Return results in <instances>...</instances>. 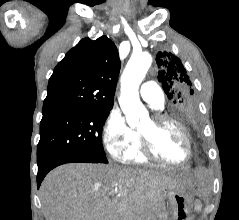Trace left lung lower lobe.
Returning <instances> with one entry per match:
<instances>
[{"label": "left lung lower lobe", "mask_w": 239, "mask_h": 220, "mask_svg": "<svg viewBox=\"0 0 239 220\" xmlns=\"http://www.w3.org/2000/svg\"><path fill=\"white\" fill-rule=\"evenodd\" d=\"M186 125H188L190 128H194L197 129L199 127V121L198 119L196 120H191V119H187V120H182Z\"/></svg>", "instance_id": "0a47b994"}]
</instances>
